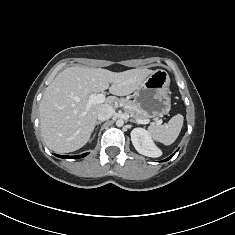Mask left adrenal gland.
<instances>
[{
    "mask_svg": "<svg viewBox=\"0 0 235 235\" xmlns=\"http://www.w3.org/2000/svg\"><path fill=\"white\" fill-rule=\"evenodd\" d=\"M129 121H130V122H133V123H136L135 120H133V119H130Z\"/></svg>",
    "mask_w": 235,
    "mask_h": 235,
    "instance_id": "obj_1",
    "label": "left adrenal gland"
}]
</instances>
